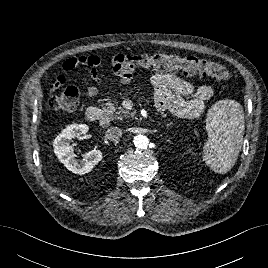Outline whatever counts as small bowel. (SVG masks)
I'll return each instance as SVG.
<instances>
[{
  "label": "small bowel",
  "mask_w": 268,
  "mask_h": 268,
  "mask_svg": "<svg viewBox=\"0 0 268 268\" xmlns=\"http://www.w3.org/2000/svg\"><path fill=\"white\" fill-rule=\"evenodd\" d=\"M118 57L116 56L113 59V66L119 82L124 85L130 84L134 78L133 69L117 67ZM80 65L89 69L92 84L87 88L85 95L88 98H93L99 94L102 87L101 72L103 63L96 55L80 56L65 60L62 63V70L63 72H69ZM59 80L63 82L65 77L61 76ZM150 82L154 90L156 104L181 118L190 119L200 116L205 109L206 103L214 96V90L211 86L206 84L194 85L173 73H153L150 77Z\"/></svg>",
  "instance_id": "small-bowel-1"
}]
</instances>
